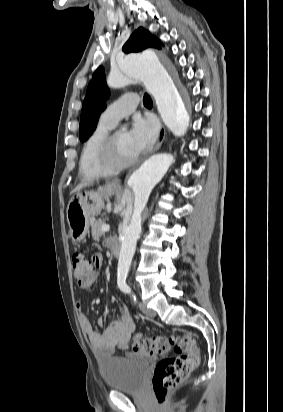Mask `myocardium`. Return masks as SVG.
Masks as SVG:
<instances>
[{
  "instance_id": "obj_1",
  "label": "myocardium",
  "mask_w": 283,
  "mask_h": 412,
  "mask_svg": "<svg viewBox=\"0 0 283 412\" xmlns=\"http://www.w3.org/2000/svg\"><path fill=\"white\" fill-rule=\"evenodd\" d=\"M119 130L111 133L106 138L100 154L102 166L112 173L126 169L138 160V155L128 161H121L117 155L116 138Z\"/></svg>"
}]
</instances>
